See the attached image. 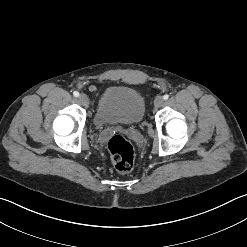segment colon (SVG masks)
<instances>
[{"instance_id":"obj_1","label":"colon","mask_w":247,"mask_h":247,"mask_svg":"<svg viewBox=\"0 0 247 247\" xmlns=\"http://www.w3.org/2000/svg\"><path fill=\"white\" fill-rule=\"evenodd\" d=\"M107 150L114 167L119 172L132 169L135 152L132 144L122 135L112 136L107 143Z\"/></svg>"}]
</instances>
